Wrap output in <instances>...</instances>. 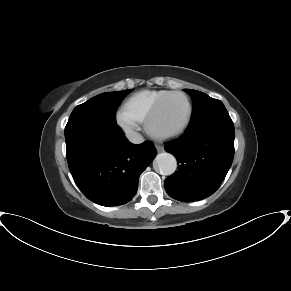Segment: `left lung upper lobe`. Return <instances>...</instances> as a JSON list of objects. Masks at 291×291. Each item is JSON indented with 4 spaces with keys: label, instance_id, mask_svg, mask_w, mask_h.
<instances>
[{
    "label": "left lung upper lobe",
    "instance_id": "1",
    "mask_svg": "<svg viewBox=\"0 0 291 291\" xmlns=\"http://www.w3.org/2000/svg\"><path fill=\"white\" fill-rule=\"evenodd\" d=\"M187 91L193 101V117L192 122L201 119L217 110L225 108L224 104L217 99L209 97L207 94L197 90H185Z\"/></svg>",
    "mask_w": 291,
    "mask_h": 291
}]
</instances>
